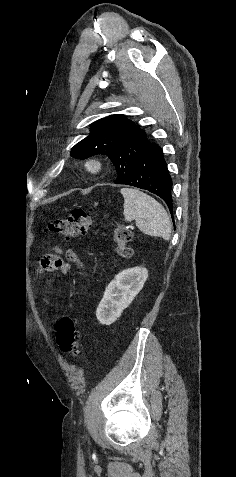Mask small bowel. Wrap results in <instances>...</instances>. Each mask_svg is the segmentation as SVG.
Returning <instances> with one entry per match:
<instances>
[{
	"mask_svg": "<svg viewBox=\"0 0 236 477\" xmlns=\"http://www.w3.org/2000/svg\"><path fill=\"white\" fill-rule=\"evenodd\" d=\"M61 252L60 250H58ZM70 262L79 263V259L72 251L66 253L65 258L60 255L49 253L41 261V269L44 271L57 270L67 272L70 268Z\"/></svg>",
	"mask_w": 236,
	"mask_h": 477,
	"instance_id": "small-bowel-1",
	"label": "small bowel"
}]
</instances>
